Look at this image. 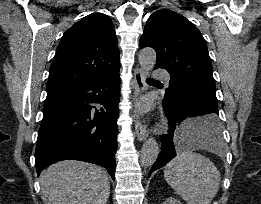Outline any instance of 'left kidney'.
<instances>
[{
    "label": "left kidney",
    "mask_w": 261,
    "mask_h": 204,
    "mask_svg": "<svg viewBox=\"0 0 261 204\" xmlns=\"http://www.w3.org/2000/svg\"><path fill=\"white\" fill-rule=\"evenodd\" d=\"M162 204H182L178 199L170 197L166 199Z\"/></svg>",
    "instance_id": "left-kidney-1"
}]
</instances>
